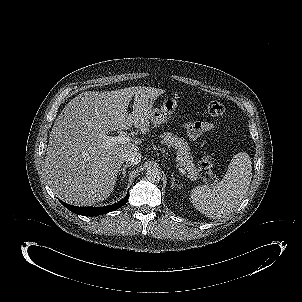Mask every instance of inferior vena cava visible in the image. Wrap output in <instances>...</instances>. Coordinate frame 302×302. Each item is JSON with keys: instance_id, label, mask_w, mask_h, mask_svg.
<instances>
[{"instance_id": "1", "label": "inferior vena cava", "mask_w": 302, "mask_h": 302, "mask_svg": "<svg viewBox=\"0 0 302 302\" xmlns=\"http://www.w3.org/2000/svg\"><path fill=\"white\" fill-rule=\"evenodd\" d=\"M123 160L128 165H136L141 161V154L137 150H129L123 155Z\"/></svg>"}]
</instances>
